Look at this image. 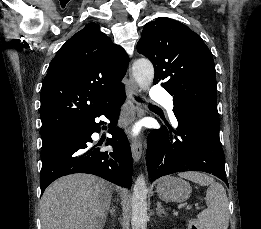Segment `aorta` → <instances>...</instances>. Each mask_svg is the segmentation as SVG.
<instances>
[{
    "mask_svg": "<svg viewBox=\"0 0 261 229\" xmlns=\"http://www.w3.org/2000/svg\"><path fill=\"white\" fill-rule=\"evenodd\" d=\"M132 72L140 88H150L154 78V66L148 58H137L133 62ZM147 195L148 189L144 175H139L135 181L132 195V229H147Z\"/></svg>",
    "mask_w": 261,
    "mask_h": 229,
    "instance_id": "obj_1",
    "label": "aorta"
}]
</instances>
